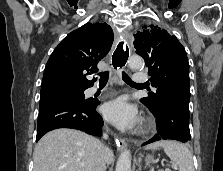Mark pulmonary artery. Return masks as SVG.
I'll use <instances>...</instances> for the list:
<instances>
[{
	"label": "pulmonary artery",
	"instance_id": "e3ab8cb5",
	"mask_svg": "<svg viewBox=\"0 0 223 171\" xmlns=\"http://www.w3.org/2000/svg\"><path fill=\"white\" fill-rule=\"evenodd\" d=\"M134 81L138 84H143L147 81V76L143 72H137L134 74ZM91 94L97 93L99 90L97 87H92L90 90Z\"/></svg>",
	"mask_w": 223,
	"mask_h": 171
}]
</instances>
